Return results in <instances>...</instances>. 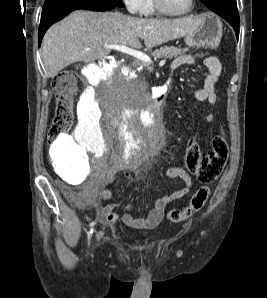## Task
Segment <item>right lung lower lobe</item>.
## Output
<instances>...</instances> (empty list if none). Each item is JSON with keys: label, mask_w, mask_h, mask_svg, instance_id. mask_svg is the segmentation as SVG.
Returning <instances> with one entry per match:
<instances>
[{"label": "right lung lower lobe", "mask_w": 267, "mask_h": 298, "mask_svg": "<svg viewBox=\"0 0 267 298\" xmlns=\"http://www.w3.org/2000/svg\"><path fill=\"white\" fill-rule=\"evenodd\" d=\"M116 5L99 0H60L46 10H42L41 21L39 25V46L45 31L55 22L64 18L71 11L77 9H86L93 11H105L115 8Z\"/></svg>", "instance_id": "obj_1"}]
</instances>
